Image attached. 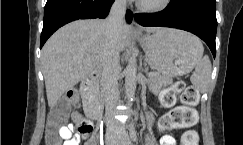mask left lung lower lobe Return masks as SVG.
I'll return each instance as SVG.
<instances>
[{
  "instance_id": "0a47b994",
  "label": "left lung lower lobe",
  "mask_w": 243,
  "mask_h": 145,
  "mask_svg": "<svg viewBox=\"0 0 243 145\" xmlns=\"http://www.w3.org/2000/svg\"><path fill=\"white\" fill-rule=\"evenodd\" d=\"M134 17L142 26L171 27L189 31L205 41L213 56L216 55L217 19L215 11L194 10L189 6L170 2L160 12L135 14Z\"/></svg>"
}]
</instances>
